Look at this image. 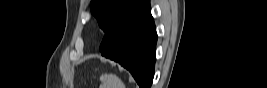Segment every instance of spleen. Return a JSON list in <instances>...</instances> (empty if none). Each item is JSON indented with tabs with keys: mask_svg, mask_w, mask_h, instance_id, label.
Here are the masks:
<instances>
[{
	"mask_svg": "<svg viewBox=\"0 0 267 88\" xmlns=\"http://www.w3.org/2000/svg\"><path fill=\"white\" fill-rule=\"evenodd\" d=\"M102 82L104 83L105 88H125L121 79L113 74L103 76Z\"/></svg>",
	"mask_w": 267,
	"mask_h": 88,
	"instance_id": "1",
	"label": "spleen"
}]
</instances>
